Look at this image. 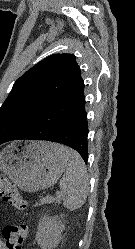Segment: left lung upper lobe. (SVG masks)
<instances>
[{
	"mask_svg": "<svg viewBox=\"0 0 135 249\" xmlns=\"http://www.w3.org/2000/svg\"><path fill=\"white\" fill-rule=\"evenodd\" d=\"M84 83L73 54H53L14 83L0 108V144L25 127L44 107Z\"/></svg>",
	"mask_w": 135,
	"mask_h": 249,
	"instance_id": "1",
	"label": "left lung upper lobe"
}]
</instances>
